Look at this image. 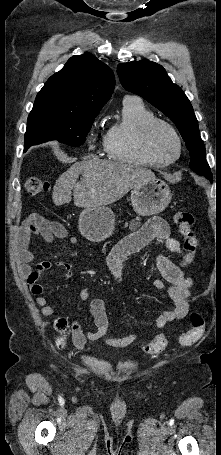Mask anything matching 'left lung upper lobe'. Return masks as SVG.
Instances as JSON below:
<instances>
[{
    "label": "left lung upper lobe",
    "instance_id": "1",
    "mask_svg": "<svg viewBox=\"0 0 221 455\" xmlns=\"http://www.w3.org/2000/svg\"><path fill=\"white\" fill-rule=\"evenodd\" d=\"M117 73L126 90L143 97L174 122L189 150L190 168L211 178L205 145L200 137L192 105L182 89L171 81L165 69L144 59L119 64Z\"/></svg>",
    "mask_w": 221,
    "mask_h": 455
}]
</instances>
